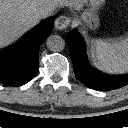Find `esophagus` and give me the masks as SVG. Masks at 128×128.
I'll return each mask as SVG.
<instances>
[{"mask_svg":"<svg viewBox=\"0 0 128 128\" xmlns=\"http://www.w3.org/2000/svg\"><path fill=\"white\" fill-rule=\"evenodd\" d=\"M71 19L66 15H61L55 20V29L63 30L70 25Z\"/></svg>","mask_w":128,"mask_h":128,"instance_id":"obj_1","label":"esophagus"}]
</instances>
